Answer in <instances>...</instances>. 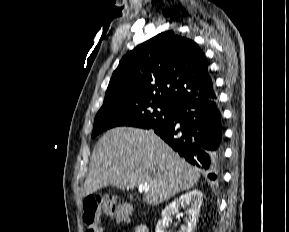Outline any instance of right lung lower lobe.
<instances>
[{
    "label": "right lung lower lobe",
    "mask_w": 289,
    "mask_h": 232,
    "mask_svg": "<svg viewBox=\"0 0 289 232\" xmlns=\"http://www.w3.org/2000/svg\"><path fill=\"white\" fill-rule=\"evenodd\" d=\"M151 129L189 163L209 171L211 180L217 178L224 140L217 96L185 102L175 109L170 123Z\"/></svg>",
    "instance_id": "98d812e1"
}]
</instances>
